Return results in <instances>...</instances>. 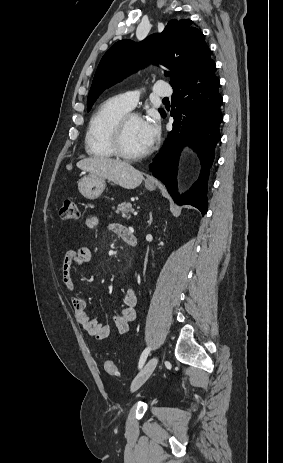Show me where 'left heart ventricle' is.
Masks as SVG:
<instances>
[{"label":"left heart ventricle","mask_w":283,"mask_h":463,"mask_svg":"<svg viewBox=\"0 0 283 463\" xmlns=\"http://www.w3.org/2000/svg\"><path fill=\"white\" fill-rule=\"evenodd\" d=\"M123 145L126 151L138 154L149 148L145 142V136L142 128V120L131 118L125 128Z\"/></svg>","instance_id":"obj_1"}]
</instances>
